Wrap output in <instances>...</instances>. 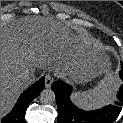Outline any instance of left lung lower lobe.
Wrapping results in <instances>:
<instances>
[{"mask_svg":"<svg viewBox=\"0 0 123 123\" xmlns=\"http://www.w3.org/2000/svg\"><path fill=\"white\" fill-rule=\"evenodd\" d=\"M119 76L123 81V63ZM56 96L58 106V123H113L118 117L123 106V84L118 92L114 104L94 111H83L78 109L70 101L72 87L60 80L54 82L51 86Z\"/></svg>","mask_w":123,"mask_h":123,"instance_id":"0a47b994","label":"left lung lower lobe"}]
</instances>
